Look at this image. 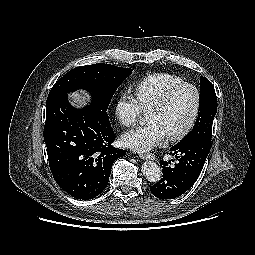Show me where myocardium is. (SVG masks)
<instances>
[{"instance_id": "f54148a6", "label": "myocardium", "mask_w": 255, "mask_h": 255, "mask_svg": "<svg viewBox=\"0 0 255 255\" xmlns=\"http://www.w3.org/2000/svg\"><path fill=\"white\" fill-rule=\"evenodd\" d=\"M191 88L194 90L195 92V96H196V100H195V107H194V111L192 113V116L188 122V124L185 126V128L183 130H181L179 133L174 134V135H168L167 140L170 142H178L181 141L182 139H184L194 128L197 119L199 117L200 114V109H201V92L200 89L193 83H189V82H181L171 88H169L162 96L161 98L151 107L150 111H158V110H162L164 109L167 104L169 103V101L171 100L172 96L179 91L182 88Z\"/></svg>"}]
</instances>
